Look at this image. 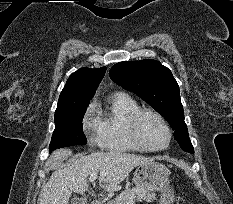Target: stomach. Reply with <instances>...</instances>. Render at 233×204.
<instances>
[{
    "label": "stomach",
    "mask_w": 233,
    "mask_h": 204,
    "mask_svg": "<svg viewBox=\"0 0 233 204\" xmlns=\"http://www.w3.org/2000/svg\"><path fill=\"white\" fill-rule=\"evenodd\" d=\"M169 170L159 162L151 161L139 165L134 172L133 181L137 187L149 191H161L163 198L160 204H171L174 195L169 187Z\"/></svg>",
    "instance_id": "obj_1"
}]
</instances>
